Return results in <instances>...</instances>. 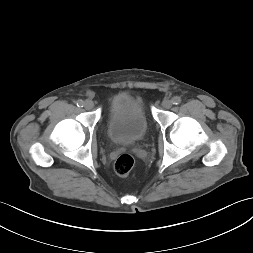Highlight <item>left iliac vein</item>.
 <instances>
[{"label": "left iliac vein", "mask_w": 253, "mask_h": 253, "mask_svg": "<svg viewBox=\"0 0 253 253\" xmlns=\"http://www.w3.org/2000/svg\"><path fill=\"white\" fill-rule=\"evenodd\" d=\"M171 106H172V101H171V100H169V99H164V100L162 101V107H163V108L169 109V108H171Z\"/></svg>", "instance_id": "4c4485c4"}]
</instances>
